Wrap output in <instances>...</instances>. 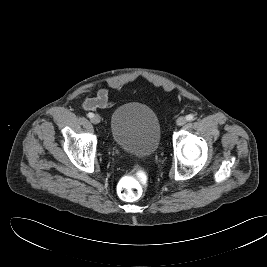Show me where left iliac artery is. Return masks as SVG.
Masks as SVG:
<instances>
[{"label": "left iliac artery", "instance_id": "44dca946", "mask_svg": "<svg viewBox=\"0 0 267 267\" xmlns=\"http://www.w3.org/2000/svg\"><path fill=\"white\" fill-rule=\"evenodd\" d=\"M186 119H187V121H192V120H194V115L189 114L186 116Z\"/></svg>", "mask_w": 267, "mask_h": 267}]
</instances>
